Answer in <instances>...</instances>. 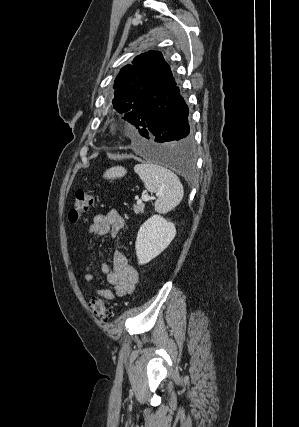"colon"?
<instances>
[{"label":"colon","mask_w":299,"mask_h":427,"mask_svg":"<svg viewBox=\"0 0 299 427\" xmlns=\"http://www.w3.org/2000/svg\"><path fill=\"white\" fill-rule=\"evenodd\" d=\"M94 198L90 191L79 190L75 194L73 206L69 211V220L78 223L83 220L84 215L93 206ZM94 316L101 322L107 323L113 316V311L108 308L101 298H94L90 302Z\"/></svg>","instance_id":"obj_1"}]
</instances>
